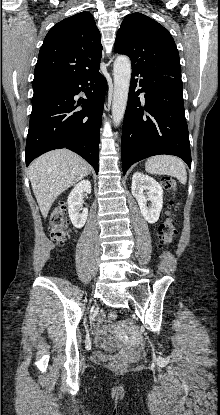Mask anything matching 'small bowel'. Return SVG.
<instances>
[{
    "mask_svg": "<svg viewBox=\"0 0 220 415\" xmlns=\"http://www.w3.org/2000/svg\"><path fill=\"white\" fill-rule=\"evenodd\" d=\"M93 335L95 342L104 349H109L111 347V340L107 335V327L103 322V319L99 323H96L93 327Z\"/></svg>",
    "mask_w": 220,
    "mask_h": 415,
    "instance_id": "c3829d8e",
    "label": "small bowel"
}]
</instances>
